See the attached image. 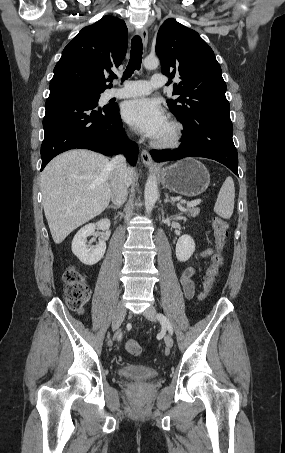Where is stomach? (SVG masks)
<instances>
[{
  "label": "stomach",
  "mask_w": 285,
  "mask_h": 453,
  "mask_svg": "<svg viewBox=\"0 0 285 453\" xmlns=\"http://www.w3.org/2000/svg\"><path fill=\"white\" fill-rule=\"evenodd\" d=\"M160 177L166 189L187 197L200 195L210 184L207 168L194 158H186L161 169Z\"/></svg>",
  "instance_id": "0dacf381"
}]
</instances>
